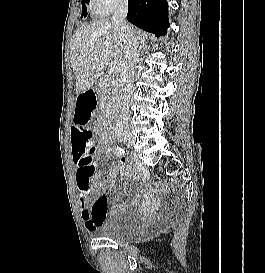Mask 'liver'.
Masks as SVG:
<instances>
[{"label":"liver","mask_w":265,"mask_h":273,"mask_svg":"<svg viewBox=\"0 0 265 273\" xmlns=\"http://www.w3.org/2000/svg\"><path fill=\"white\" fill-rule=\"evenodd\" d=\"M70 49L77 95L92 87L113 58L125 62L126 43L110 19L79 27Z\"/></svg>","instance_id":"6515ba94"}]
</instances>
